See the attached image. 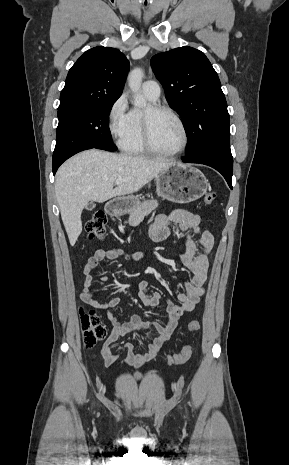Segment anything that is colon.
Listing matches in <instances>:
<instances>
[{
	"label": "colon",
	"instance_id": "1",
	"mask_svg": "<svg viewBox=\"0 0 289 465\" xmlns=\"http://www.w3.org/2000/svg\"><path fill=\"white\" fill-rule=\"evenodd\" d=\"M216 193L214 190L208 191L204 196L206 204H212L215 201ZM107 222L106 215L99 211L96 212L86 223V229L90 238L101 239L105 235V225ZM82 341L87 349H92L106 336V328L101 322L99 316L92 310H80ZM200 330L198 321H191L188 324L189 332H197ZM192 355V347L185 344L180 352L168 356L169 364H183L190 359Z\"/></svg>",
	"mask_w": 289,
	"mask_h": 465
}]
</instances>
